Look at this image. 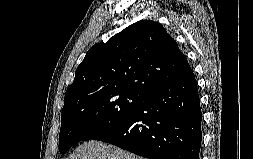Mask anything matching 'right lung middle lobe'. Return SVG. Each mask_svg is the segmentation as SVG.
I'll return each instance as SVG.
<instances>
[{
	"mask_svg": "<svg viewBox=\"0 0 253 159\" xmlns=\"http://www.w3.org/2000/svg\"><path fill=\"white\" fill-rule=\"evenodd\" d=\"M145 96L136 92H99L64 104L61 112L59 152L105 132L128 118Z\"/></svg>",
	"mask_w": 253,
	"mask_h": 159,
	"instance_id": "dd1d6c3e",
	"label": "right lung middle lobe"
}]
</instances>
